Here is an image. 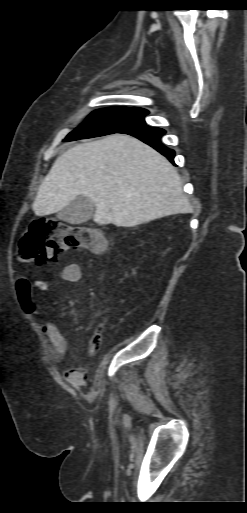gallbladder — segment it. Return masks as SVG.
<instances>
[{
  "instance_id": "bac80fb5",
  "label": "gallbladder",
  "mask_w": 247,
  "mask_h": 513,
  "mask_svg": "<svg viewBox=\"0 0 247 513\" xmlns=\"http://www.w3.org/2000/svg\"><path fill=\"white\" fill-rule=\"evenodd\" d=\"M94 211L95 205L89 198L77 196L58 212L57 218L71 224H82L92 218Z\"/></svg>"
}]
</instances>
